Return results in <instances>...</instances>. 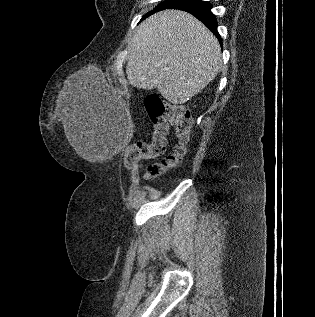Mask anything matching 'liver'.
I'll return each instance as SVG.
<instances>
[{
    "label": "liver",
    "instance_id": "6515ba94",
    "mask_svg": "<svg viewBox=\"0 0 315 317\" xmlns=\"http://www.w3.org/2000/svg\"><path fill=\"white\" fill-rule=\"evenodd\" d=\"M221 48L217 38L195 17L165 10L144 20L130 44L126 74L137 88L159 93L174 105L195 96L217 75ZM61 107L65 135L78 155L86 157L84 126L69 91Z\"/></svg>",
    "mask_w": 315,
    "mask_h": 317
}]
</instances>
